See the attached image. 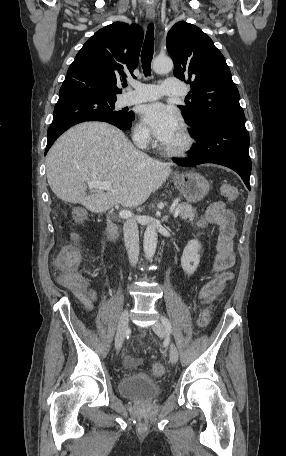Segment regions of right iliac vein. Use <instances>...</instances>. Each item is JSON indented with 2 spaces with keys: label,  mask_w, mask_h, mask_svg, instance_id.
<instances>
[{
  "label": "right iliac vein",
  "mask_w": 286,
  "mask_h": 456,
  "mask_svg": "<svg viewBox=\"0 0 286 456\" xmlns=\"http://www.w3.org/2000/svg\"><path fill=\"white\" fill-rule=\"evenodd\" d=\"M128 321H129V313H128V310L125 309L120 316L118 329H117V333H116V338H115V347L117 350H120L122 347V344H123V341H124V338H125V335H126V332L128 329Z\"/></svg>",
  "instance_id": "63e3f726"
}]
</instances>
